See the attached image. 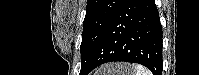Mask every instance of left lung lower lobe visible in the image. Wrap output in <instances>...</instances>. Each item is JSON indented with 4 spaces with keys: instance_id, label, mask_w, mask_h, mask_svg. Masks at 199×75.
<instances>
[{
    "instance_id": "obj_1",
    "label": "left lung lower lobe",
    "mask_w": 199,
    "mask_h": 75,
    "mask_svg": "<svg viewBox=\"0 0 199 75\" xmlns=\"http://www.w3.org/2000/svg\"><path fill=\"white\" fill-rule=\"evenodd\" d=\"M113 61L139 63L162 75V27L154 0H123L81 75Z\"/></svg>"
}]
</instances>
